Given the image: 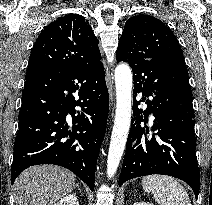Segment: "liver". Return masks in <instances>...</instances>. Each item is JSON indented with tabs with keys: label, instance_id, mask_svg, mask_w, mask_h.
<instances>
[{
	"label": "liver",
	"instance_id": "6515ba94",
	"mask_svg": "<svg viewBox=\"0 0 212 205\" xmlns=\"http://www.w3.org/2000/svg\"><path fill=\"white\" fill-rule=\"evenodd\" d=\"M75 187V175L53 165L33 166L14 183L16 205H52Z\"/></svg>",
	"mask_w": 212,
	"mask_h": 205
}]
</instances>
